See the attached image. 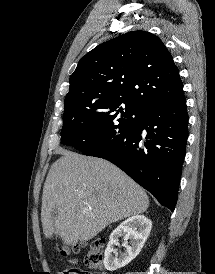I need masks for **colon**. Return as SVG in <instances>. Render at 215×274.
<instances>
[{"label": "colon", "mask_w": 215, "mask_h": 274, "mask_svg": "<svg viewBox=\"0 0 215 274\" xmlns=\"http://www.w3.org/2000/svg\"><path fill=\"white\" fill-rule=\"evenodd\" d=\"M105 240L102 238H95L89 243V250L86 256V265L93 271H100L103 268V255L105 250ZM79 245L74 246L73 250L79 249ZM63 256H67L71 252V248L63 246L60 249ZM67 274H94L90 271H84L79 269H71L66 271Z\"/></svg>", "instance_id": "colon-1"}]
</instances>
